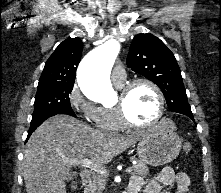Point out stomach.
Returning <instances> with one entry per match:
<instances>
[{
  "mask_svg": "<svg viewBox=\"0 0 221 193\" xmlns=\"http://www.w3.org/2000/svg\"><path fill=\"white\" fill-rule=\"evenodd\" d=\"M161 120L145 135L138 144L137 155L140 161L151 166H160L172 162L181 150L182 140Z\"/></svg>",
  "mask_w": 221,
  "mask_h": 193,
  "instance_id": "stomach-1",
  "label": "stomach"
}]
</instances>
